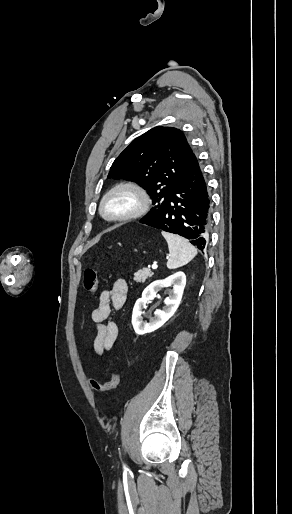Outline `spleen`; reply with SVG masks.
<instances>
[{
	"mask_svg": "<svg viewBox=\"0 0 292 514\" xmlns=\"http://www.w3.org/2000/svg\"><path fill=\"white\" fill-rule=\"evenodd\" d=\"M163 238H165L169 248V258L167 262V268L169 270H175V268H181L188 262H191L195 256H197V250L189 244L188 240L176 236V234H168V232H161Z\"/></svg>",
	"mask_w": 292,
	"mask_h": 514,
	"instance_id": "spleen-1",
	"label": "spleen"
}]
</instances>
